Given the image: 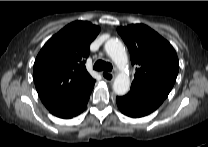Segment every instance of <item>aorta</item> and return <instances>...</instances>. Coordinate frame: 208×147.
<instances>
[{"mask_svg": "<svg viewBox=\"0 0 208 147\" xmlns=\"http://www.w3.org/2000/svg\"><path fill=\"white\" fill-rule=\"evenodd\" d=\"M105 51L115 63L117 68L121 70L113 83V90L117 95H124L130 88L129 76L123 72L128 63L127 53L122 42L117 39H109L105 43Z\"/></svg>", "mask_w": 208, "mask_h": 147, "instance_id": "762f6f07", "label": "aorta"}]
</instances>
